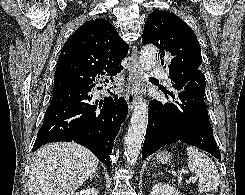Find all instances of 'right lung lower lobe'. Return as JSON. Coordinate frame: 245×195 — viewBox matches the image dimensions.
<instances>
[{
	"label": "right lung lower lobe",
	"instance_id": "1",
	"mask_svg": "<svg viewBox=\"0 0 245 195\" xmlns=\"http://www.w3.org/2000/svg\"><path fill=\"white\" fill-rule=\"evenodd\" d=\"M96 84L93 81L86 86L53 94L32 151L49 142L74 141L110 166L109 155L120 125L127 116L128 106L124 98L115 95V98L109 96L100 102L95 101L90 92L100 89Z\"/></svg>",
	"mask_w": 245,
	"mask_h": 195
}]
</instances>
